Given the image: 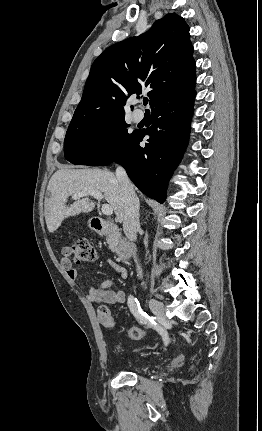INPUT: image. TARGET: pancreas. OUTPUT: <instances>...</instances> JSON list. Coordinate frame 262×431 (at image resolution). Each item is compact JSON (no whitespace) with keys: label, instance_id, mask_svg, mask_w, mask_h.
<instances>
[{"label":"pancreas","instance_id":"cf45deb5","mask_svg":"<svg viewBox=\"0 0 262 431\" xmlns=\"http://www.w3.org/2000/svg\"><path fill=\"white\" fill-rule=\"evenodd\" d=\"M107 242L111 251L115 252L117 250V239L113 235L107 237Z\"/></svg>","mask_w":262,"mask_h":431}]
</instances>
